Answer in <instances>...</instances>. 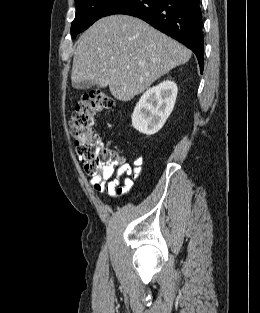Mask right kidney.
Instances as JSON below:
<instances>
[{"mask_svg":"<svg viewBox=\"0 0 260 313\" xmlns=\"http://www.w3.org/2000/svg\"><path fill=\"white\" fill-rule=\"evenodd\" d=\"M177 92V85L171 80L149 88L133 111L132 126L146 135L157 133L174 108Z\"/></svg>","mask_w":260,"mask_h":313,"instance_id":"ca27d5eb","label":"right kidney"}]
</instances>
